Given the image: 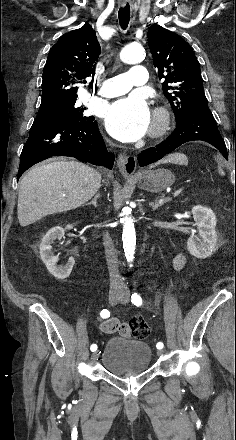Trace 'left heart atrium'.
<instances>
[{"label": "left heart atrium", "mask_w": 236, "mask_h": 440, "mask_svg": "<svg viewBox=\"0 0 236 440\" xmlns=\"http://www.w3.org/2000/svg\"><path fill=\"white\" fill-rule=\"evenodd\" d=\"M148 104L141 95L133 94L107 106L104 122L107 131L123 142L140 139L150 126Z\"/></svg>", "instance_id": "39dd6f15"}]
</instances>
